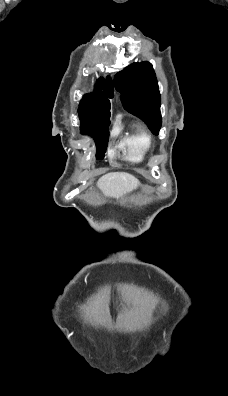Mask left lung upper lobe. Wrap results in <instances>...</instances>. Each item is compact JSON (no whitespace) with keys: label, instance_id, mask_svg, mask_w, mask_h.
<instances>
[{"label":"left lung upper lobe","instance_id":"1","mask_svg":"<svg viewBox=\"0 0 228 396\" xmlns=\"http://www.w3.org/2000/svg\"><path fill=\"white\" fill-rule=\"evenodd\" d=\"M124 108L141 118L158 135L161 128V98L158 82L149 62L133 63L114 78Z\"/></svg>","mask_w":228,"mask_h":396}]
</instances>
